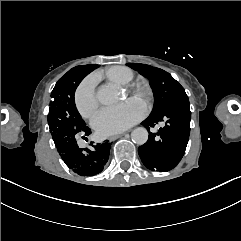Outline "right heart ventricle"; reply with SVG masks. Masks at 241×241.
<instances>
[{"label":"right heart ventricle","instance_id":"obj_1","mask_svg":"<svg viewBox=\"0 0 241 241\" xmlns=\"http://www.w3.org/2000/svg\"><path fill=\"white\" fill-rule=\"evenodd\" d=\"M107 78L115 83L128 85L133 79V72L123 66H112L106 72ZM94 81L89 80L84 85L90 90L93 88Z\"/></svg>","mask_w":241,"mask_h":241}]
</instances>
